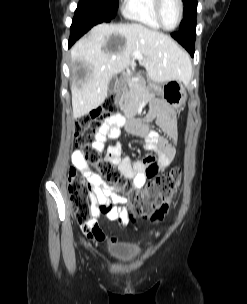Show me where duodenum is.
Here are the masks:
<instances>
[{
	"instance_id": "1",
	"label": "duodenum",
	"mask_w": 247,
	"mask_h": 304,
	"mask_svg": "<svg viewBox=\"0 0 247 304\" xmlns=\"http://www.w3.org/2000/svg\"><path fill=\"white\" fill-rule=\"evenodd\" d=\"M143 81L146 83V82H149V79H146V78H145ZM124 88L127 90V89L130 88V87H128V86L126 85ZM117 108H118V109H121V108H122V105H121V104H118V105H117Z\"/></svg>"
}]
</instances>
